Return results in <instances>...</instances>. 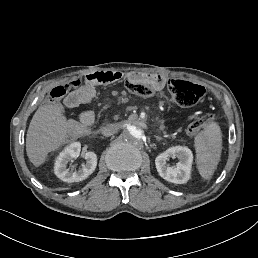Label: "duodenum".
<instances>
[{"mask_svg": "<svg viewBox=\"0 0 258 258\" xmlns=\"http://www.w3.org/2000/svg\"><path fill=\"white\" fill-rule=\"evenodd\" d=\"M123 74L119 71H99L89 74L86 77V82L92 87L98 85L108 86L121 80Z\"/></svg>", "mask_w": 258, "mask_h": 258, "instance_id": "410a0bca", "label": "duodenum"}]
</instances>
